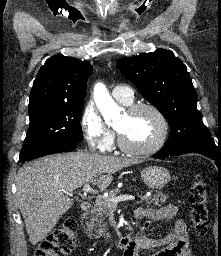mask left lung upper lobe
<instances>
[{"mask_svg": "<svg viewBox=\"0 0 221 256\" xmlns=\"http://www.w3.org/2000/svg\"><path fill=\"white\" fill-rule=\"evenodd\" d=\"M117 66L168 119L171 132L164 146L211 137L197 110V93L187 67L173 52L157 49L120 59Z\"/></svg>", "mask_w": 221, "mask_h": 256, "instance_id": "5c2ea615", "label": "left lung upper lobe"}]
</instances>
